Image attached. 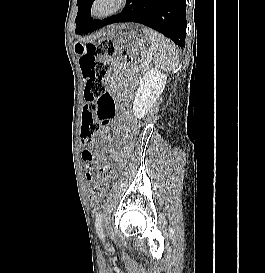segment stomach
I'll return each mask as SVG.
<instances>
[{"label":"stomach","instance_id":"obj_1","mask_svg":"<svg viewBox=\"0 0 265 273\" xmlns=\"http://www.w3.org/2000/svg\"><path fill=\"white\" fill-rule=\"evenodd\" d=\"M102 34L109 35L111 40L139 42L141 35H150L151 31L146 30V25H107V30H103ZM78 47L81 45L77 44L76 48Z\"/></svg>","mask_w":265,"mask_h":273}]
</instances>
